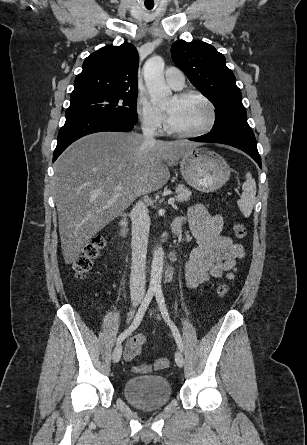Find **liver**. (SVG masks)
<instances>
[{
  "mask_svg": "<svg viewBox=\"0 0 307 445\" xmlns=\"http://www.w3.org/2000/svg\"><path fill=\"white\" fill-rule=\"evenodd\" d=\"M201 142H145L138 132H94L73 142L55 162L54 190L66 265L91 239L146 192L170 178L168 166ZM122 186L117 190L116 186Z\"/></svg>",
  "mask_w": 307,
  "mask_h": 445,
  "instance_id": "1",
  "label": "liver"
}]
</instances>
